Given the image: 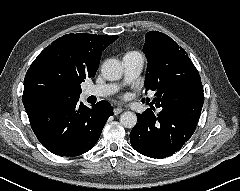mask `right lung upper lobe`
Masks as SVG:
<instances>
[{"mask_svg":"<svg viewBox=\"0 0 240 191\" xmlns=\"http://www.w3.org/2000/svg\"><path fill=\"white\" fill-rule=\"evenodd\" d=\"M117 35L67 34L47 46L33 61L24 78L23 104L79 98L80 84L95 76L101 52Z\"/></svg>","mask_w":240,"mask_h":191,"instance_id":"right-lung-upper-lobe-1","label":"right lung upper lobe"}]
</instances>
